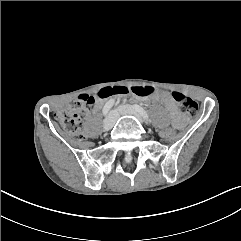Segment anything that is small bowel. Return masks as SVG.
<instances>
[{
	"label": "small bowel",
	"instance_id": "c3829d8e",
	"mask_svg": "<svg viewBox=\"0 0 241 241\" xmlns=\"http://www.w3.org/2000/svg\"><path fill=\"white\" fill-rule=\"evenodd\" d=\"M152 98L156 101L161 102L173 115L177 121H182V116L178 111L173 99L168 93H155Z\"/></svg>",
	"mask_w": 241,
	"mask_h": 241
}]
</instances>
